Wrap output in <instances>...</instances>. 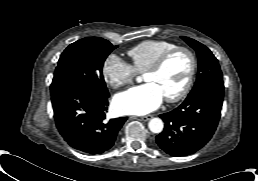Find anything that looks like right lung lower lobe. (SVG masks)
I'll use <instances>...</instances> for the list:
<instances>
[{
    "instance_id": "1",
    "label": "right lung lower lobe",
    "mask_w": 258,
    "mask_h": 181,
    "mask_svg": "<svg viewBox=\"0 0 258 181\" xmlns=\"http://www.w3.org/2000/svg\"><path fill=\"white\" fill-rule=\"evenodd\" d=\"M55 122L67 143L84 153L109 150L127 117L105 120L107 98H98L70 83L51 84Z\"/></svg>"
}]
</instances>
